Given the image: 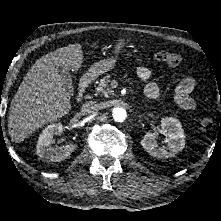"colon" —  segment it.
<instances>
[{
    "label": "colon",
    "instance_id": "colon-1",
    "mask_svg": "<svg viewBox=\"0 0 221 221\" xmlns=\"http://www.w3.org/2000/svg\"><path fill=\"white\" fill-rule=\"evenodd\" d=\"M154 59L158 62L167 64L169 66H179L182 62V57L178 53H173L169 51H158L154 54ZM200 126L204 130H209L213 127V121L209 118H203L200 121Z\"/></svg>",
    "mask_w": 221,
    "mask_h": 221
}]
</instances>
